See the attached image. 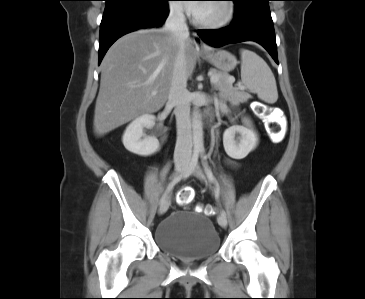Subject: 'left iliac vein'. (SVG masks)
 Here are the masks:
<instances>
[{"mask_svg": "<svg viewBox=\"0 0 365 299\" xmlns=\"http://www.w3.org/2000/svg\"><path fill=\"white\" fill-rule=\"evenodd\" d=\"M194 174L201 180H204L205 179V176L204 174L202 173L201 169L199 166L196 167L195 171H194ZM217 221H218V224L221 226V227H226L227 226V218L226 216L220 214L218 215L217 217Z\"/></svg>", "mask_w": 365, "mask_h": 299, "instance_id": "obj_1", "label": "left iliac vein"}]
</instances>
